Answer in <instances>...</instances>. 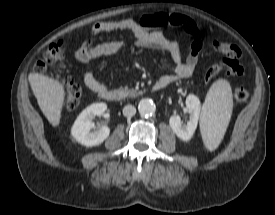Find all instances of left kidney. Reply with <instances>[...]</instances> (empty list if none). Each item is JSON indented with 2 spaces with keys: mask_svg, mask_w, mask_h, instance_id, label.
Returning a JSON list of instances; mask_svg holds the SVG:
<instances>
[{
  "mask_svg": "<svg viewBox=\"0 0 275 215\" xmlns=\"http://www.w3.org/2000/svg\"><path fill=\"white\" fill-rule=\"evenodd\" d=\"M186 107L190 113V119L186 124L182 123L178 115H172L169 119L171 129L183 141L190 140L196 130L201 109L199 98L193 94L188 95Z\"/></svg>",
  "mask_w": 275,
  "mask_h": 215,
  "instance_id": "5707ae66",
  "label": "left kidney"
}]
</instances>
